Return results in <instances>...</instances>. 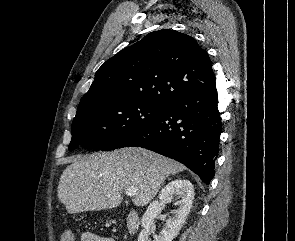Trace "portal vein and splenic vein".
I'll return each instance as SVG.
<instances>
[{
	"label": "portal vein and splenic vein",
	"mask_w": 295,
	"mask_h": 241,
	"mask_svg": "<svg viewBox=\"0 0 295 241\" xmlns=\"http://www.w3.org/2000/svg\"><path fill=\"white\" fill-rule=\"evenodd\" d=\"M136 192H137V188H135V187H129L125 190L126 195L130 196V197L134 196L136 194Z\"/></svg>",
	"instance_id": "portal-vein-and-splenic-vein-1"
}]
</instances>
